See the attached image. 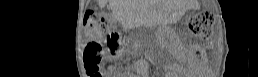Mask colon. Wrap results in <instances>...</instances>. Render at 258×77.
Instances as JSON below:
<instances>
[{"label":"colon","instance_id":"1","mask_svg":"<svg viewBox=\"0 0 258 77\" xmlns=\"http://www.w3.org/2000/svg\"><path fill=\"white\" fill-rule=\"evenodd\" d=\"M85 30L89 42L85 48V67L90 77H99L103 52L123 51L128 46L124 35L113 29V20L108 13L99 11L86 12ZM213 16L209 12L195 14L189 21V27L197 38L208 39L212 31Z\"/></svg>","mask_w":258,"mask_h":77}]
</instances>
